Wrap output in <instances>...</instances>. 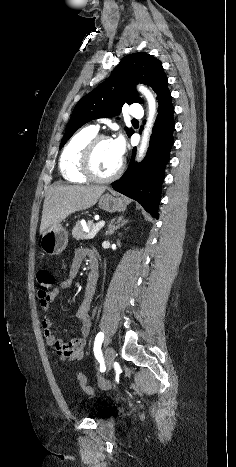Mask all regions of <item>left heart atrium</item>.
Instances as JSON below:
<instances>
[{
	"label": "left heart atrium",
	"mask_w": 236,
	"mask_h": 467,
	"mask_svg": "<svg viewBox=\"0 0 236 467\" xmlns=\"http://www.w3.org/2000/svg\"><path fill=\"white\" fill-rule=\"evenodd\" d=\"M113 148L115 150L116 155L122 159L125 153V142L122 136H118L117 138L111 140Z\"/></svg>",
	"instance_id": "left-heart-atrium-1"
}]
</instances>
